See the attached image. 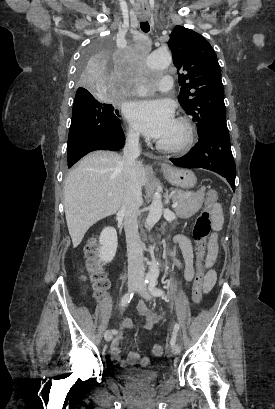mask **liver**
Listing matches in <instances>:
<instances>
[{"label":"liver","instance_id":"liver-1","mask_svg":"<svg viewBox=\"0 0 275 409\" xmlns=\"http://www.w3.org/2000/svg\"><path fill=\"white\" fill-rule=\"evenodd\" d=\"M136 166L139 182L146 184L144 164L136 162ZM123 170L121 154L97 150L84 156L78 166L67 174L64 209L74 249L94 223L117 213L124 194Z\"/></svg>","mask_w":275,"mask_h":409}]
</instances>
